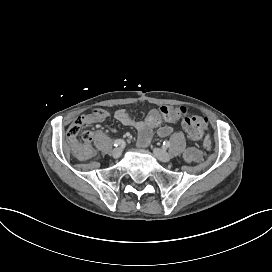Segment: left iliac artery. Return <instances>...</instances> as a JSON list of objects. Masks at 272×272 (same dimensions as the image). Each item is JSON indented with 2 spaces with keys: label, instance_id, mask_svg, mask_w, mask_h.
<instances>
[{
  "label": "left iliac artery",
  "instance_id": "obj_1",
  "mask_svg": "<svg viewBox=\"0 0 272 272\" xmlns=\"http://www.w3.org/2000/svg\"><path fill=\"white\" fill-rule=\"evenodd\" d=\"M162 145L164 148H168V147H170L171 144L169 141H164Z\"/></svg>",
  "mask_w": 272,
  "mask_h": 272
}]
</instances>
